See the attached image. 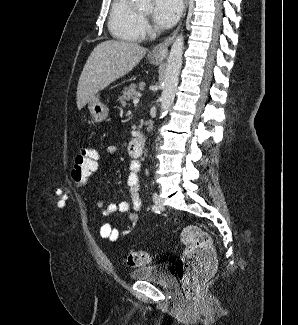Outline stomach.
Here are the masks:
<instances>
[{
	"label": "stomach",
	"mask_w": 298,
	"mask_h": 325,
	"mask_svg": "<svg viewBox=\"0 0 298 325\" xmlns=\"http://www.w3.org/2000/svg\"><path fill=\"white\" fill-rule=\"evenodd\" d=\"M148 60L151 64H162L165 58H154V56H149ZM87 108H89L93 122H102V120H105L110 110L109 106L102 102L100 94L92 96L90 102L87 104Z\"/></svg>",
	"instance_id": "1"
}]
</instances>
